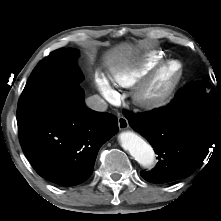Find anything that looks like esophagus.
Instances as JSON below:
<instances>
[{
  "label": "esophagus",
  "mask_w": 221,
  "mask_h": 221,
  "mask_svg": "<svg viewBox=\"0 0 221 221\" xmlns=\"http://www.w3.org/2000/svg\"><path fill=\"white\" fill-rule=\"evenodd\" d=\"M118 126L120 130L128 129L129 127L128 120L124 116H120L118 118Z\"/></svg>",
  "instance_id": "34e87169"
}]
</instances>
